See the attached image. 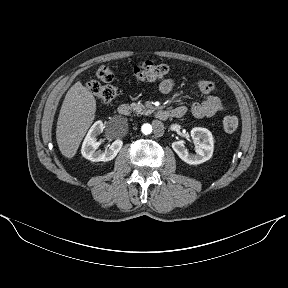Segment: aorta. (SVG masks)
I'll list each match as a JSON object with an SVG mask.
<instances>
[{
  "mask_svg": "<svg viewBox=\"0 0 288 288\" xmlns=\"http://www.w3.org/2000/svg\"><path fill=\"white\" fill-rule=\"evenodd\" d=\"M152 126L150 124H144L142 126V132L145 134V135H148V134H151L152 133Z\"/></svg>",
  "mask_w": 288,
  "mask_h": 288,
  "instance_id": "1",
  "label": "aorta"
}]
</instances>
